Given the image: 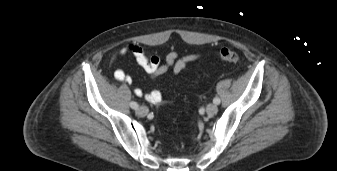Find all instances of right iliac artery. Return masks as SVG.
Listing matches in <instances>:
<instances>
[{"mask_svg": "<svg viewBox=\"0 0 337 171\" xmlns=\"http://www.w3.org/2000/svg\"><path fill=\"white\" fill-rule=\"evenodd\" d=\"M130 107L132 109H137L139 107V105L136 102L132 101V102H130Z\"/></svg>", "mask_w": 337, "mask_h": 171, "instance_id": "right-iliac-artery-1", "label": "right iliac artery"}]
</instances>
